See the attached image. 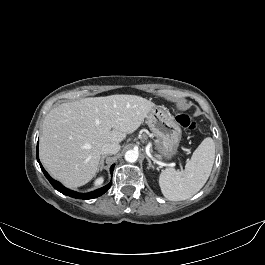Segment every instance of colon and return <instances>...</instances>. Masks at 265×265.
Listing matches in <instances>:
<instances>
[{"instance_id":"colon-1","label":"colon","mask_w":265,"mask_h":265,"mask_svg":"<svg viewBox=\"0 0 265 265\" xmlns=\"http://www.w3.org/2000/svg\"><path fill=\"white\" fill-rule=\"evenodd\" d=\"M177 122L186 129H194L196 127L195 120L187 113H179L176 117Z\"/></svg>"}]
</instances>
